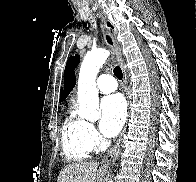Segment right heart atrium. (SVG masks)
<instances>
[{
    "mask_svg": "<svg viewBox=\"0 0 196 182\" xmlns=\"http://www.w3.org/2000/svg\"><path fill=\"white\" fill-rule=\"evenodd\" d=\"M86 137L92 148H97L101 144V138L91 123L86 124Z\"/></svg>",
    "mask_w": 196,
    "mask_h": 182,
    "instance_id": "right-heart-atrium-1",
    "label": "right heart atrium"
}]
</instances>
